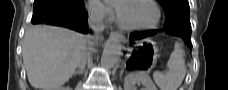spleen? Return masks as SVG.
I'll return each mask as SVG.
<instances>
[{
	"mask_svg": "<svg viewBox=\"0 0 228 90\" xmlns=\"http://www.w3.org/2000/svg\"><path fill=\"white\" fill-rule=\"evenodd\" d=\"M167 66V73L154 72L153 79L160 90H178L186 74L183 50L179 44L175 45Z\"/></svg>",
	"mask_w": 228,
	"mask_h": 90,
	"instance_id": "spleen-1",
	"label": "spleen"
}]
</instances>
